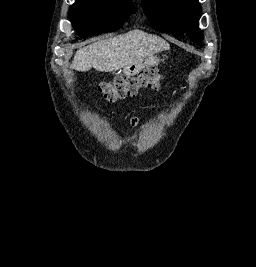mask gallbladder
<instances>
[{"label":"gallbladder","instance_id":"bac80fb5","mask_svg":"<svg viewBox=\"0 0 256 267\" xmlns=\"http://www.w3.org/2000/svg\"><path fill=\"white\" fill-rule=\"evenodd\" d=\"M71 82H76L75 78H73V80H71Z\"/></svg>","mask_w":256,"mask_h":267}]
</instances>
